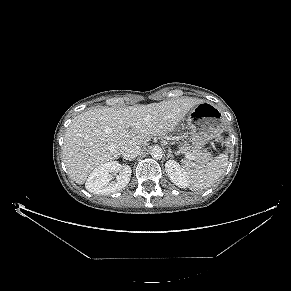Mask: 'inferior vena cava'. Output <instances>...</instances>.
Masks as SVG:
<instances>
[{"instance_id": "602c4592", "label": "inferior vena cava", "mask_w": 291, "mask_h": 291, "mask_svg": "<svg viewBox=\"0 0 291 291\" xmlns=\"http://www.w3.org/2000/svg\"><path fill=\"white\" fill-rule=\"evenodd\" d=\"M141 151V147L135 144H126L122 147L121 155L125 160L135 159Z\"/></svg>"}]
</instances>
